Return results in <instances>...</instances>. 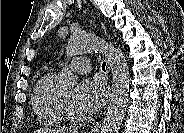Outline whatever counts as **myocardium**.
Masks as SVG:
<instances>
[{
  "mask_svg": "<svg viewBox=\"0 0 184 133\" xmlns=\"http://www.w3.org/2000/svg\"><path fill=\"white\" fill-rule=\"evenodd\" d=\"M63 101H64V104H67V105H69V104H70L69 100H68V99H66L65 97H63Z\"/></svg>",
  "mask_w": 184,
  "mask_h": 133,
  "instance_id": "myocardium-1",
  "label": "myocardium"
}]
</instances>
